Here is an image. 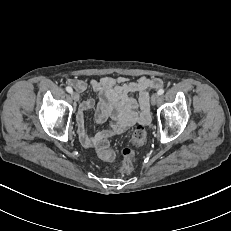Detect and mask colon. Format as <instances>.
I'll use <instances>...</instances> for the list:
<instances>
[{"label": "colon", "instance_id": "1", "mask_svg": "<svg viewBox=\"0 0 231 231\" xmlns=\"http://www.w3.org/2000/svg\"><path fill=\"white\" fill-rule=\"evenodd\" d=\"M148 133L147 130L139 125L137 126L132 134L131 141L134 147H142L147 141ZM98 156L104 161H110L114 158L115 153L110 147L109 143L106 140L101 141L97 145ZM135 152L131 148H124L122 150L123 161L119 167L121 173H130L133 170V160Z\"/></svg>", "mask_w": 231, "mask_h": 231}]
</instances>
